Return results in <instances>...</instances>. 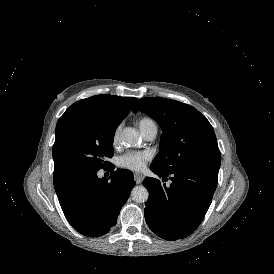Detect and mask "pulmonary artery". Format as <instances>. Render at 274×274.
Segmentation results:
<instances>
[{
    "instance_id": "1",
    "label": "pulmonary artery",
    "mask_w": 274,
    "mask_h": 274,
    "mask_svg": "<svg viewBox=\"0 0 274 274\" xmlns=\"http://www.w3.org/2000/svg\"><path fill=\"white\" fill-rule=\"evenodd\" d=\"M140 133L146 141H152L157 135V126L153 121H148L139 126Z\"/></svg>"
}]
</instances>
